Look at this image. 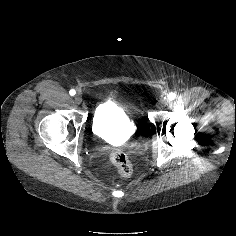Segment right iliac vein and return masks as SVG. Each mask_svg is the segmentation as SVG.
I'll return each mask as SVG.
<instances>
[{"label": "right iliac vein", "instance_id": "1", "mask_svg": "<svg viewBox=\"0 0 236 236\" xmlns=\"http://www.w3.org/2000/svg\"><path fill=\"white\" fill-rule=\"evenodd\" d=\"M75 103L76 104H81L82 103V96L80 94H76L74 97Z\"/></svg>", "mask_w": 236, "mask_h": 236}]
</instances>
